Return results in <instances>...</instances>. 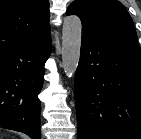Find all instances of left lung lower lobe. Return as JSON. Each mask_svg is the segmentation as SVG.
<instances>
[{
  "mask_svg": "<svg viewBox=\"0 0 141 139\" xmlns=\"http://www.w3.org/2000/svg\"><path fill=\"white\" fill-rule=\"evenodd\" d=\"M78 139H141V51L82 35Z\"/></svg>",
  "mask_w": 141,
  "mask_h": 139,
  "instance_id": "left-lung-lower-lobe-1",
  "label": "left lung lower lobe"
}]
</instances>
